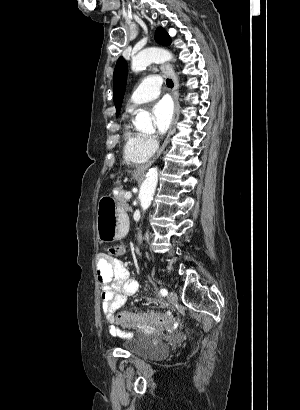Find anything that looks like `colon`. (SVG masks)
<instances>
[{"instance_id":"1","label":"colon","mask_w":300,"mask_h":410,"mask_svg":"<svg viewBox=\"0 0 300 410\" xmlns=\"http://www.w3.org/2000/svg\"><path fill=\"white\" fill-rule=\"evenodd\" d=\"M108 252L113 257H122L127 253V246L117 244L109 247ZM173 313L158 314L154 312L120 313L117 316L118 323L127 328L143 326L149 328L155 325H164L174 322Z\"/></svg>"}]
</instances>
